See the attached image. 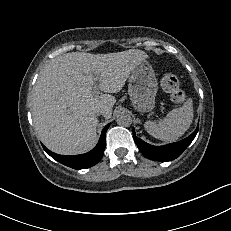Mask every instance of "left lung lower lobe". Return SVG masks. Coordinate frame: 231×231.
Here are the masks:
<instances>
[{
  "mask_svg": "<svg viewBox=\"0 0 231 231\" xmlns=\"http://www.w3.org/2000/svg\"><path fill=\"white\" fill-rule=\"evenodd\" d=\"M197 132H198V127L189 137L179 142L167 144L164 146H152L144 142L140 138L136 137L134 130H133V138L139 150L145 157L154 161L164 162V161H170L176 159L178 156H180L183 153V151L193 141Z\"/></svg>",
  "mask_w": 231,
  "mask_h": 231,
  "instance_id": "0a47b994",
  "label": "left lung lower lobe"
}]
</instances>
